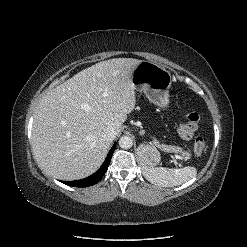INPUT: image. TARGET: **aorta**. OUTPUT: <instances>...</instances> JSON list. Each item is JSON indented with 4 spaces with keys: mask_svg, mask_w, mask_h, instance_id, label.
I'll return each mask as SVG.
<instances>
[{
    "mask_svg": "<svg viewBox=\"0 0 247 247\" xmlns=\"http://www.w3.org/2000/svg\"><path fill=\"white\" fill-rule=\"evenodd\" d=\"M132 145H133V139L129 136H122L119 139V146L122 149H129L132 147Z\"/></svg>",
    "mask_w": 247,
    "mask_h": 247,
    "instance_id": "1",
    "label": "aorta"
}]
</instances>
